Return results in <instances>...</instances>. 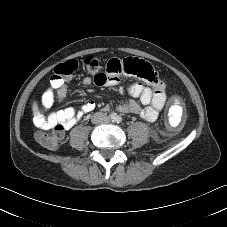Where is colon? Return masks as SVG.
<instances>
[{"label": "colon", "instance_id": "obj_1", "mask_svg": "<svg viewBox=\"0 0 227 227\" xmlns=\"http://www.w3.org/2000/svg\"><path fill=\"white\" fill-rule=\"evenodd\" d=\"M83 65L87 68L88 71L94 74L95 79L98 83L103 82V69L106 68L107 71L111 72L114 75H118L121 71L118 61L116 59L110 60L106 65L103 61L94 56L86 55L83 58ZM124 71L136 76H139L143 79H153L154 71L153 67L144 61L138 60H127L123 63ZM79 69V63L76 59H69L63 63L58 64L54 69V74L51 77V88L56 89L60 88L63 84V79L65 77H74ZM183 109V102L179 95H172L170 99V114L176 115ZM63 134L61 132V127L57 126L53 132H39L36 134V139L42 145L54 149L57 148L61 142Z\"/></svg>", "mask_w": 227, "mask_h": 227}]
</instances>
